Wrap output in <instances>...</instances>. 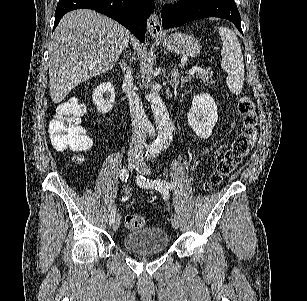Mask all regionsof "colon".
I'll list each match as a JSON object with an SVG mask.
<instances>
[{"instance_id": "colon-1", "label": "colon", "mask_w": 307, "mask_h": 301, "mask_svg": "<svg viewBox=\"0 0 307 301\" xmlns=\"http://www.w3.org/2000/svg\"><path fill=\"white\" fill-rule=\"evenodd\" d=\"M84 112L85 107L77 100H68L59 106L50 123L51 141L56 149L84 151L91 146L92 140L81 125ZM238 112L242 118V128L205 182V192L219 186L254 146L257 137V115L250 97L243 96L239 99ZM124 226L129 231L139 230L144 226V219L136 214H128L125 216Z\"/></svg>"}]
</instances>
